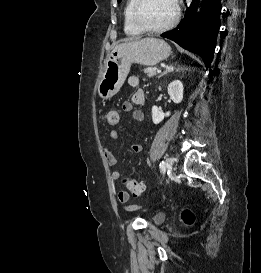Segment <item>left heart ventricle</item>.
Here are the masks:
<instances>
[{
  "label": "left heart ventricle",
  "mask_w": 261,
  "mask_h": 273,
  "mask_svg": "<svg viewBox=\"0 0 261 273\" xmlns=\"http://www.w3.org/2000/svg\"><path fill=\"white\" fill-rule=\"evenodd\" d=\"M174 13L172 0H142L137 10V19L146 27H160L169 23Z\"/></svg>",
  "instance_id": "1"
}]
</instances>
